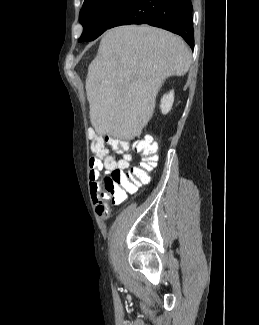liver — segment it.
I'll return each instance as SVG.
<instances>
[{"instance_id": "6515ba94", "label": "liver", "mask_w": 259, "mask_h": 325, "mask_svg": "<svg viewBox=\"0 0 259 325\" xmlns=\"http://www.w3.org/2000/svg\"><path fill=\"white\" fill-rule=\"evenodd\" d=\"M191 53L183 39L147 25L108 30L88 68L90 122L98 135L139 137L153 116L164 80L185 75Z\"/></svg>"}]
</instances>
